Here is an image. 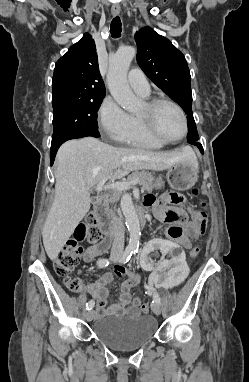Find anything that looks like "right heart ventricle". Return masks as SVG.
I'll return each mask as SVG.
<instances>
[{
    "label": "right heart ventricle",
    "instance_id": "obj_1",
    "mask_svg": "<svg viewBox=\"0 0 249 382\" xmlns=\"http://www.w3.org/2000/svg\"><path fill=\"white\" fill-rule=\"evenodd\" d=\"M130 117L132 123L131 131L120 142L145 149H160L165 146V144L154 140L146 133L137 115Z\"/></svg>",
    "mask_w": 249,
    "mask_h": 382
}]
</instances>
